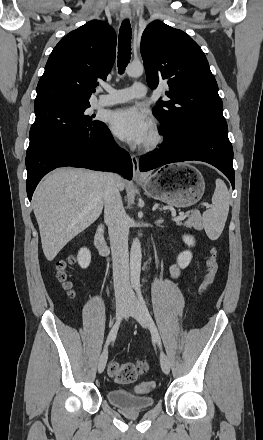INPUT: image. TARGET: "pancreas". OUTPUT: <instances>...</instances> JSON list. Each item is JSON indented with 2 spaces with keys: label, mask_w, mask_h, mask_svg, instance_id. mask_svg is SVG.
I'll return each instance as SVG.
<instances>
[{
  "label": "pancreas",
  "mask_w": 263,
  "mask_h": 440,
  "mask_svg": "<svg viewBox=\"0 0 263 440\" xmlns=\"http://www.w3.org/2000/svg\"><path fill=\"white\" fill-rule=\"evenodd\" d=\"M188 219L182 224L179 223V225H184L187 228H194L196 230H202V218L201 214L198 210L192 211L190 214L187 215Z\"/></svg>",
  "instance_id": "obj_1"
}]
</instances>
